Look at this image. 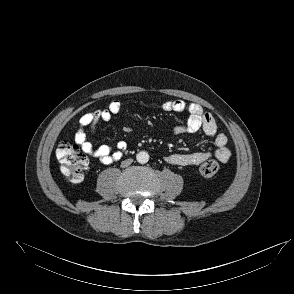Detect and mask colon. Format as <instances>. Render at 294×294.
<instances>
[{"mask_svg": "<svg viewBox=\"0 0 294 294\" xmlns=\"http://www.w3.org/2000/svg\"><path fill=\"white\" fill-rule=\"evenodd\" d=\"M56 157L61 164L63 175L72 183H79L84 177L88 161L79 147L68 140L61 141L56 148ZM219 163L214 158H206L199 166L203 177L209 178L216 175Z\"/></svg>", "mask_w": 294, "mask_h": 294, "instance_id": "colon-1", "label": "colon"}]
</instances>
